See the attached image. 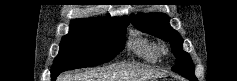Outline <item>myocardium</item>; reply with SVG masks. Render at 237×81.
Masks as SVG:
<instances>
[{"label":"myocardium","mask_w":237,"mask_h":81,"mask_svg":"<svg viewBox=\"0 0 237 81\" xmlns=\"http://www.w3.org/2000/svg\"><path fill=\"white\" fill-rule=\"evenodd\" d=\"M163 53H167V49L165 47L162 48Z\"/></svg>","instance_id":"f54148a6"}]
</instances>
